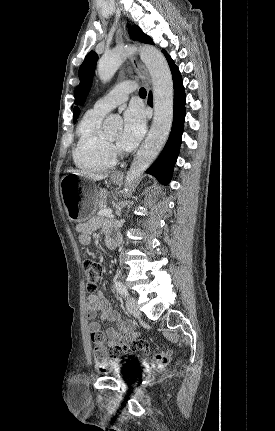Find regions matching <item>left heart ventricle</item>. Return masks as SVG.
Listing matches in <instances>:
<instances>
[{"label":"left heart ventricle","instance_id":"1","mask_svg":"<svg viewBox=\"0 0 275 431\" xmlns=\"http://www.w3.org/2000/svg\"><path fill=\"white\" fill-rule=\"evenodd\" d=\"M117 137H118L117 135H114V136L110 137L109 140L110 141H115L117 139Z\"/></svg>","mask_w":275,"mask_h":431}]
</instances>
